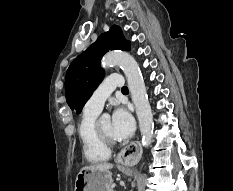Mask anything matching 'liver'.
Listing matches in <instances>:
<instances>
[{
    "label": "liver",
    "mask_w": 233,
    "mask_h": 191,
    "mask_svg": "<svg viewBox=\"0 0 233 191\" xmlns=\"http://www.w3.org/2000/svg\"><path fill=\"white\" fill-rule=\"evenodd\" d=\"M112 168H113V164L101 163V164H94V165H90V166H85L83 169L109 171Z\"/></svg>",
    "instance_id": "1"
}]
</instances>
